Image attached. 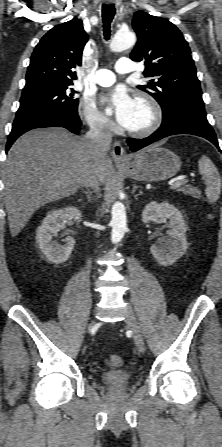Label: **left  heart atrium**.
Here are the masks:
<instances>
[{"mask_svg":"<svg viewBox=\"0 0 222 447\" xmlns=\"http://www.w3.org/2000/svg\"><path fill=\"white\" fill-rule=\"evenodd\" d=\"M105 102L112 107L117 122L128 128L134 114L136 101L124 89H116L105 98Z\"/></svg>","mask_w":222,"mask_h":447,"instance_id":"1","label":"left heart atrium"}]
</instances>
